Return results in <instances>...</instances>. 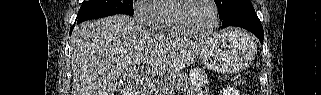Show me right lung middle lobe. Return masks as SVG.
Wrapping results in <instances>:
<instances>
[{"mask_svg":"<svg viewBox=\"0 0 321 95\" xmlns=\"http://www.w3.org/2000/svg\"><path fill=\"white\" fill-rule=\"evenodd\" d=\"M115 14L133 16V0H84L75 22L81 23Z\"/></svg>","mask_w":321,"mask_h":95,"instance_id":"right-lung-middle-lobe-1","label":"right lung middle lobe"}]
</instances>
